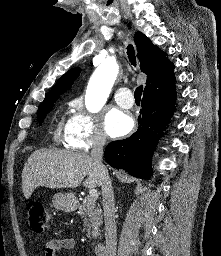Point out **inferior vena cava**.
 Listing matches in <instances>:
<instances>
[{"label":"inferior vena cava","instance_id":"inferior-vena-cava-1","mask_svg":"<svg viewBox=\"0 0 221 256\" xmlns=\"http://www.w3.org/2000/svg\"><path fill=\"white\" fill-rule=\"evenodd\" d=\"M105 137L103 135H96L93 139V146L91 149V157L101 177V189L103 196V209L105 218V239H106V256H116L117 245V229L115 222V199L113 187L108 175V171L102 163L103 146L105 145Z\"/></svg>","mask_w":221,"mask_h":256}]
</instances>
